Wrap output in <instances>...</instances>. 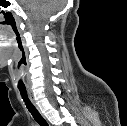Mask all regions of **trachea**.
Returning <instances> with one entry per match:
<instances>
[{"label": "trachea", "instance_id": "obj_1", "mask_svg": "<svg viewBox=\"0 0 127 126\" xmlns=\"http://www.w3.org/2000/svg\"><path fill=\"white\" fill-rule=\"evenodd\" d=\"M19 91H20V94H21L23 101L25 102L27 109L32 114L34 120L40 126H48L47 122L44 120V118L40 115L38 110L35 108V106L29 100L26 89L25 88H23V89L19 88Z\"/></svg>", "mask_w": 127, "mask_h": 126}]
</instances>
